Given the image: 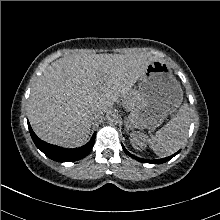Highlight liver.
Returning a JSON list of instances; mask_svg holds the SVG:
<instances>
[{"instance_id":"obj_1","label":"liver","mask_w":220,"mask_h":220,"mask_svg":"<svg viewBox=\"0 0 220 220\" xmlns=\"http://www.w3.org/2000/svg\"><path fill=\"white\" fill-rule=\"evenodd\" d=\"M144 53L72 54L52 62L38 78L28 100V118L36 135L62 147L88 139L91 112H106L129 94L149 63Z\"/></svg>"}]
</instances>
